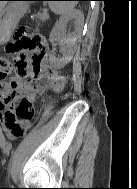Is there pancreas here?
<instances>
[{"mask_svg": "<svg viewBox=\"0 0 137 189\" xmlns=\"http://www.w3.org/2000/svg\"><path fill=\"white\" fill-rule=\"evenodd\" d=\"M47 17H48V15L46 13H44V14L41 15V19L42 20L46 19Z\"/></svg>", "mask_w": 137, "mask_h": 189, "instance_id": "pancreas-1", "label": "pancreas"}]
</instances>
